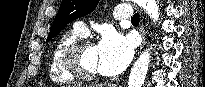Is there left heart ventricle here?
I'll list each match as a JSON object with an SVG mask.
<instances>
[{
    "instance_id": "b2bd125f",
    "label": "left heart ventricle",
    "mask_w": 205,
    "mask_h": 87,
    "mask_svg": "<svg viewBox=\"0 0 205 87\" xmlns=\"http://www.w3.org/2000/svg\"><path fill=\"white\" fill-rule=\"evenodd\" d=\"M80 65L86 73H98V58L96 47H86L80 55Z\"/></svg>"
}]
</instances>
